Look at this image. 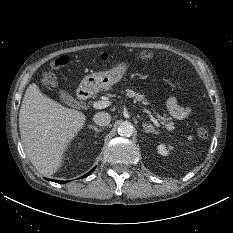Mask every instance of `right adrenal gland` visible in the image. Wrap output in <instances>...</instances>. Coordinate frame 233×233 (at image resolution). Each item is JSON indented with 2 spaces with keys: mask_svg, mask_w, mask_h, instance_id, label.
<instances>
[{
  "mask_svg": "<svg viewBox=\"0 0 233 233\" xmlns=\"http://www.w3.org/2000/svg\"><path fill=\"white\" fill-rule=\"evenodd\" d=\"M88 127H89L90 129H93V130L96 132V134H97L98 132H101V131H102L101 128H98V127H96V126H94V125H89Z\"/></svg>",
  "mask_w": 233,
  "mask_h": 233,
  "instance_id": "1",
  "label": "right adrenal gland"
}]
</instances>
